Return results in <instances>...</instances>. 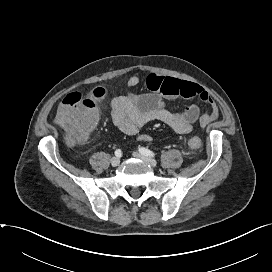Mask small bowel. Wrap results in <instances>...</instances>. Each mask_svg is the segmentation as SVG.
Segmentation results:
<instances>
[{"label":"small bowel","mask_w":272,"mask_h":272,"mask_svg":"<svg viewBox=\"0 0 272 272\" xmlns=\"http://www.w3.org/2000/svg\"><path fill=\"white\" fill-rule=\"evenodd\" d=\"M142 81L138 75L126 81L127 93L115 97L111 102L112 121L115 126L127 135H135L140 128L152 121H160L168 125L176 133L188 134L194 124L206 126L216 120L219 109L214 99L199 85L158 74L148 75L144 82L150 92L135 94L132 89ZM177 98H198L208 107L202 113L199 106L191 104L180 111H172L166 100ZM150 136L142 135L141 141H150Z\"/></svg>","instance_id":"obj_1"}]
</instances>
